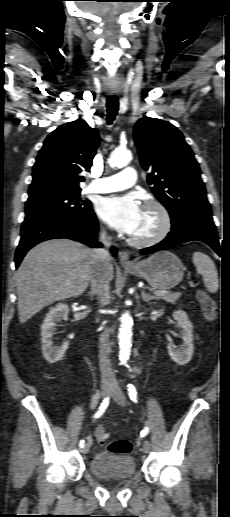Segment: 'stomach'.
<instances>
[{
	"instance_id": "1",
	"label": "stomach",
	"mask_w": 230,
	"mask_h": 517,
	"mask_svg": "<svg viewBox=\"0 0 230 517\" xmlns=\"http://www.w3.org/2000/svg\"><path fill=\"white\" fill-rule=\"evenodd\" d=\"M125 269L137 277L144 278L152 287L160 290L175 287L184 276L181 260L169 251L157 252Z\"/></svg>"
}]
</instances>
